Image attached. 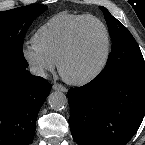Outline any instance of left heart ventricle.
Masks as SVG:
<instances>
[{
  "instance_id": "1",
  "label": "left heart ventricle",
  "mask_w": 145,
  "mask_h": 145,
  "mask_svg": "<svg viewBox=\"0 0 145 145\" xmlns=\"http://www.w3.org/2000/svg\"><path fill=\"white\" fill-rule=\"evenodd\" d=\"M106 47L105 33L94 22H86L80 31L79 43L65 65V72L71 77H80L92 71L103 59Z\"/></svg>"
}]
</instances>
